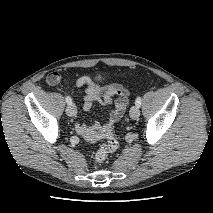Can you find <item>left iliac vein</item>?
I'll return each instance as SVG.
<instances>
[{
	"label": "left iliac vein",
	"mask_w": 213,
	"mask_h": 213,
	"mask_svg": "<svg viewBox=\"0 0 213 213\" xmlns=\"http://www.w3.org/2000/svg\"><path fill=\"white\" fill-rule=\"evenodd\" d=\"M140 116V110L138 106H132L130 109V117L132 119H137Z\"/></svg>",
	"instance_id": "left-iliac-vein-1"
}]
</instances>
